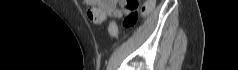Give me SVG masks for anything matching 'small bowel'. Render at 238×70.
I'll return each instance as SVG.
<instances>
[{
	"mask_svg": "<svg viewBox=\"0 0 238 70\" xmlns=\"http://www.w3.org/2000/svg\"><path fill=\"white\" fill-rule=\"evenodd\" d=\"M85 3L88 5L87 17L96 24L108 17L120 19L130 12L125 6V0H86Z\"/></svg>",
	"mask_w": 238,
	"mask_h": 70,
	"instance_id": "1",
	"label": "small bowel"
}]
</instances>
